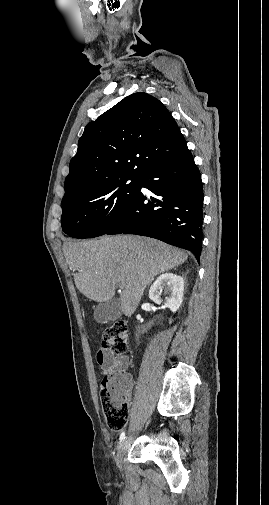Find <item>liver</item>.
I'll use <instances>...</instances> for the list:
<instances>
[{"instance_id": "1", "label": "liver", "mask_w": 269, "mask_h": 505, "mask_svg": "<svg viewBox=\"0 0 269 505\" xmlns=\"http://www.w3.org/2000/svg\"><path fill=\"white\" fill-rule=\"evenodd\" d=\"M63 252L80 293L102 303L111 300L119 287L122 312L126 316L135 312L145 288L155 276L183 264L188 258L178 248L134 235L66 242Z\"/></svg>"}]
</instances>
